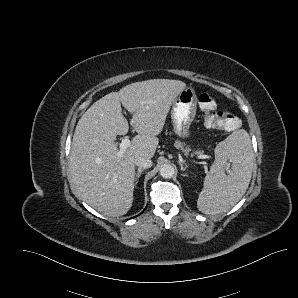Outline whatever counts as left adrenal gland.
<instances>
[{
	"label": "left adrenal gland",
	"instance_id": "1",
	"mask_svg": "<svg viewBox=\"0 0 298 298\" xmlns=\"http://www.w3.org/2000/svg\"><path fill=\"white\" fill-rule=\"evenodd\" d=\"M179 165H180V169L182 171H185L186 170V165H184L183 163L179 162Z\"/></svg>",
	"mask_w": 298,
	"mask_h": 298
}]
</instances>
